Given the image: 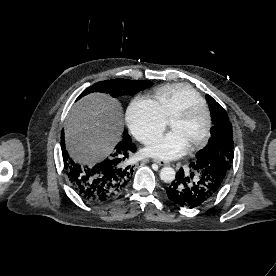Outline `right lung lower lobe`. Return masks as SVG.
<instances>
[{
	"label": "right lung lower lobe",
	"mask_w": 276,
	"mask_h": 276,
	"mask_svg": "<svg viewBox=\"0 0 276 276\" xmlns=\"http://www.w3.org/2000/svg\"><path fill=\"white\" fill-rule=\"evenodd\" d=\"M61 147L65 173L72 188L83 199L92 203L106 202L127 187L133 167L126 165V159L136 148L131 139L120 141L110 156L94 166L79 165L71 160L65 150L63 133Z\"/></svg>",
	"instance_id": "obj_1"
}]
</instances>
